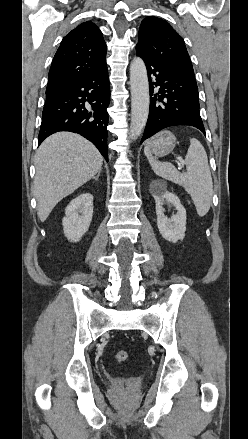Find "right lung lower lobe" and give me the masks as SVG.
I'll return each instance as SVG.
<instances>
[{
    "label": "right lung lower lobe",
    "instance_id": "98d812e1",
    "mask_svg": "<svg viewBox=\"0 0 248 439\" xmlns=\"http://www.w3.org/2000/svg\"><path fill=\"white\" fill-rule=\"evenodd\" d=\"M109 103L107 66L46 94L39 144L55 132L71 131L90 140L108 161Z\"/></svg>",
    "mask_w": 248,
    "mask_h": 439
}]
</instances>
